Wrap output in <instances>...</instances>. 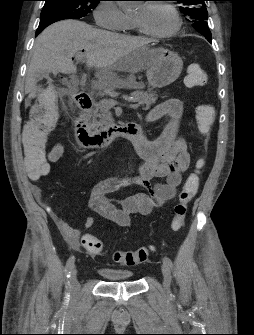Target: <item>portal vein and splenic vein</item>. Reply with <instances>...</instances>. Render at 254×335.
I'll return each instance as SVG.
<instances>
[{"label":"portal vein and splenic vein","mask_w":254,"mask_h":335,"mask_svg":"<svg viewBox=\"0 0 254 335\" xmlns=\"http://www.w3.org/2000/svg\"><path fill=\"white\" fill-rule=\"evenodd\" d=\"M75 57H76L77 60H81V59L84 57V55H83V53H77V54L75 55ZM104 103H105L108 107H113V106H116V105H119V104H120L118 101H116V100H114V99H104ZM129 107H130V108H133V109H136V108L139 107V104H137V103H131V104H129Z\"/></svg>","instance_id":"portal-vein-and-splenic-vein-1"}]
</instances>
